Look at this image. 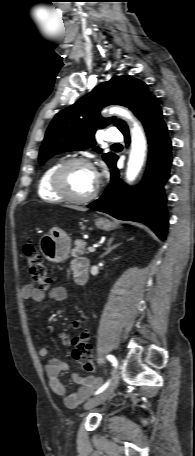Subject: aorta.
Wrapping results in <instances>:
<instances>
[{
  "label": "aorta",
  "instance_id": "1",
  "mask_svg": "<svg viewBox=\"0 0 195 456\" xmlns=\"http://www.w3.org/2000/svg\"><path fill=\"white\" fill-rule=\"evenodd\" d=\"M109 112L129 119L134 123V128L132 130L131 137V151L126 170V179L128 182H132L139 174L144 163L145 152L147 149L146 138L141 127L134 120L133 116L129 111L121 107L114 106L109 109Z\"/></svg>",
  "mask_w": 195,
  "mask_h": 456
}]
</instances>
